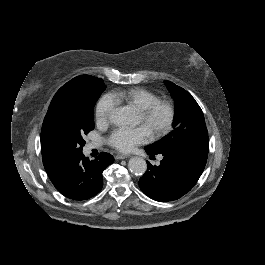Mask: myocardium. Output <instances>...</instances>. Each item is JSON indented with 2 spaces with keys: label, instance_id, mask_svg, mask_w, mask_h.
<instances>
[{
  "label": "myocardium",
  "instance_id": "obj_1",
  "mask_svg": "<svg viewBox=\"0 0 265 265\" xmlns=\"http://www.w3.org/2000/svg\"><path fill=\"white\" fill-rule=\"evenodd\" d=\"M159 110L164 112V121L160 126L151 131V134L154 138L164 136L171 129L175 118V110L173 106L166 101L157 100L144 110L139 111L144 125L147 126L150 124Z\"/></svg>",
  "mask_w": 265,
  "mask_h": 265
}]
</instances>
